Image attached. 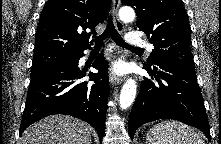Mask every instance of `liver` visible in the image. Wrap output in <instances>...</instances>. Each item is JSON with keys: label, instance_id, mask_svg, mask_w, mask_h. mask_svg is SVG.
I'll use <instances>...</instances> for the list:
<instances>
[{"label": "liver", "instance_id": "1", "mask_svg": "<svg viewBox=\"0 0 221 144\" xmlns=\"http://www.w3.org/2000/svg\"><path fill=\"white\" fill-rule=\"evenodd\" d=\"M92 128L67 115H52L29 126L21 144H91Z\"/></svg>", "mask_w": 221, "mask_h": 144}]
</instances>
